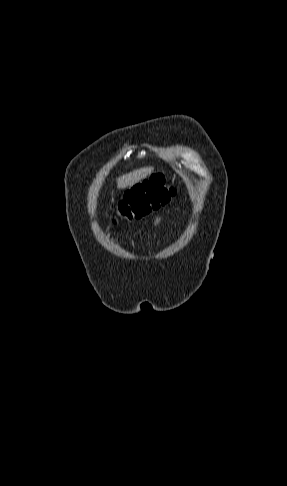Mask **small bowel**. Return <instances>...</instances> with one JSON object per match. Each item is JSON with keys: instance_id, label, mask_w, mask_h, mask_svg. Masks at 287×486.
Instances as JSON below:
<instances>
[{"instance_id": "obj_1", "label": "small bowel", "mask_w": 287, "mask_h": 486, "mask_svg": "<svg viewBox=\"0 0 287 486\" xmlns=\"http://www.w3.org/2000/svg\"><path fill=\"white\" fill-rule=\"evenodd\" d=\"M163 222V217L157 216L153 220V226L158 227Z\"/></svg>"}]
</instances>
